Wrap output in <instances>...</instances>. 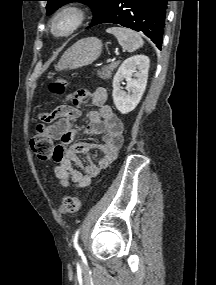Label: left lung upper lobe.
<instances>
[{"instance_id":"obj_1","label":"left lung upper lobe","mask_w":216,"mask_h":285,"mask_svg":"<svg viewBox=\"0 0 216 285\" xmlns=\"http://www.w3.org/2000/svg\"><path fill=\"white\" fill-rule=\"evenodd\" d=\"M45 1L48 2L46 6L47 15L52 14L56 9H58L60 6L68 2L78 1L88 5L93 11V21L91 25L102 18V16L106 13V11L113 2V0H45Z\"/></svg>"}]
</instances>
